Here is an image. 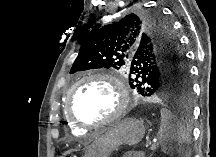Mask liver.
Instances as JSON below:
<instances>
[{
  "label": "liver",
  "instance_id": "6515ba94",
  "mask_svg": "<svg viewBox=\"0 0 216 157\" xmlns=\"http://www.w3.org/2000/svg\"><path fill=\"white\" fill-rule=\"evenodd\" d=\"M69 153H70V151H67V152L64 153V155H68Z\"/></svg>",
  "mask_w": 216,
  "mask_h": 157
}]
</instances>
